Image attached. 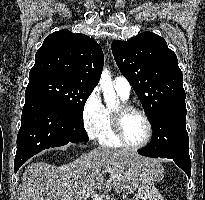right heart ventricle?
I'll return each mask as SVG.
<instances>
[{
  "label": "right heart ventricle",
  "mask_w": 205,
  "mask_h": 200,
  "mask_svg": "<svg viewBox=\"0 0 205 200\" xmlns=\"http://www.w3.org/2000/svg\"><path fill=\"white\" fill-rule=\"evenodd\" d=\"M120 97L124 102H126L127 98H124L121 95ZM111 113L112 112L110 110L106 109L105 125L97 140L99 144L104 147L120 148L123 145L118 141V139L114 135L111 123Z\"/></svg>",
  "instance_id": "e07e8e85"
}]
</instances>
